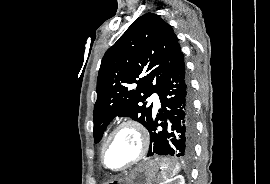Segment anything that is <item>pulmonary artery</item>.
Returning <instances> with one entry per match:
<instances>
[{"label":"pulmonary artery","instance_id":"pulmonary-artery-1","mask_svg":"<svg viewBox=\"0 0 270 184\" xmlns=\"http://www.w3.org/2000/svg\"><path fill=\"white\" fill-rule=\"evenodd\" d=\"M150 100L153 102L154 104V107L156 109H158L160 107V101H159V98L156 94H153L151 97H150Z\"/></svg>","mask_w":270,"mask_h":184}]
</instances>
